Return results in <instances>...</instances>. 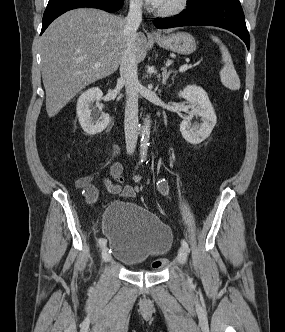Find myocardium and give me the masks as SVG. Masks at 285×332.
<instances>
[{"label":"myocardium","instance_id":"f54148a6","mask_svg":"<svg viewBox=\"0 0 285 332\" xmlns=\"http://www.w3.org/2000/svg\"><path fill=\"white\" fill-rule=\"evenodd\" d=\"M189 0H178L177 3L170 8H159L157 14L163 17H172L182 13L188 6Z\"/></svg>","mask_w":285,"mask_h":332}]
</instances>
